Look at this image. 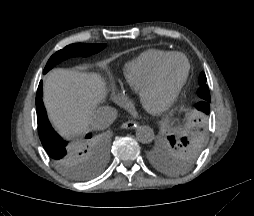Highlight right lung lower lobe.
<instances>
[{"instance_id": "obj_1", "label": "right lung lower lobe", "mask_w": 254, "mask_h": 216, "mask_svg": "<svg viewBox=\"0 0 254 216\" xmlns=\"http://www.w3.org/2000/svg\"><path fill=\"white\" fill-rule=\"evenodd\" d=\"M36 111L38 134L41 143L55 165L61 166L68 164L77 158H79L80 163L84 167H87L92 163L90 157V141L85 142L86 147L81 151L78 146L67 147V142L64 141L52 128L42 101V81L39 83L36 94ZM86 138H91V134H88Z\"/></svg>"}]
</instances>
